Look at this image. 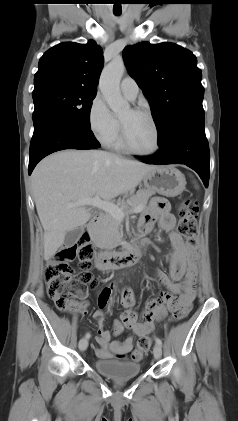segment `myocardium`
<instances>
[{"mask_svg": "<svg viewBox=\"0 0 238 421\" xmlns=\"http://www.w3.org/2000/svg\"><path fill=\"white\" fill-rule=\"evenodd\" d=\"M133 112L135 113H139V114H143L145 116H147L149 118V120L151 121L154 131H155V146L152 150L147 151V152H142L139 150H136L129 142L128 137H127V133H126V129L125 126L123 124V122L121 120H119V124H120V138H121V142L125 148L126 151H128L129 153L136 155V156H141V157H148V156H152L154 154H156L161 147V132H160V128L159 125L155 119V117L153 116V114L145 109V108H141V107H136V108H132L131 109Z\"/></svg>", "mask_w": 238, "mask_h": 421, "instance_id": "myocardium-1", "label": "myocardium"}]
</instances>
